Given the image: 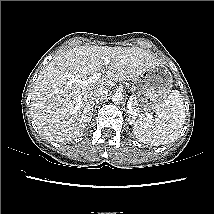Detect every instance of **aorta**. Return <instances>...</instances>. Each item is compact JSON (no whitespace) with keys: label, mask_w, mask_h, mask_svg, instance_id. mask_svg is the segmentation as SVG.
Returning <instances> with one entry per match:
<instances>
[{"label":"aorta","mask_w":214,"mask_h":214,"mask_svg":"<svg viewBox=\"0 0 214 214\" xmlns=\"http://www.w3.org/2000/svg\"><path fill=\"white\" fill-rule=\"evenodd\" d=\"M123 100V96L121 93H115L113 96H112V102L114 104H120Z\"/></svg>","instance_id":"obj_1"}]
</instances>
